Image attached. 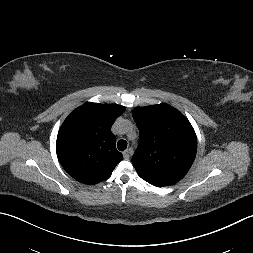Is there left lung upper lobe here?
I'll use <instances>...</instances> for the list:
<instances>
[{"label": "left lung upper lobe", "mask_w": 253, "mask_h": 253, "mask_svg": "<svg viewBox=\"0 0 253 253\" xmlns=\"http://www.w3.org/2000/svg\"><path fill=\"white\" fill-rule=\"evenodd\" d=\"M132 116L140 132L132 157L138 175L148 183L174 185L189 171L197 138L189 120L168 104L136 107Z\"/></svg>", "instance_id": "1"}]
</instances>
